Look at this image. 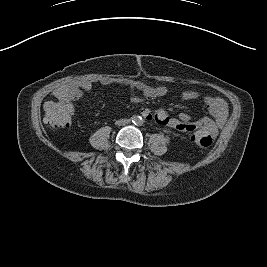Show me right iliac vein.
Listing matches in <instances>:
<instances>
[{
	"instance_id": "obj_1",
	"label": "right iliac vein",
	"mask_w": 267,
	"mask_h": 267,
	"mask_svg": "<svg viewBox=\"0 0 267 267\" xmlns=\"http://www.w3.org/2000/svg\"><path fill=\"white\" fill-rule=\"evenodd\" d=\"M117 124H118L119 126L122 125V121L117 122Z\"/></svg>"
}]
</instances>
